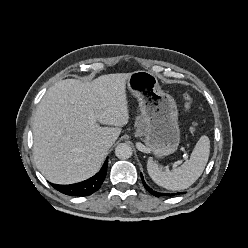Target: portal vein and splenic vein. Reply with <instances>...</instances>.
<instances>
[{"label":"portal vein and splenic vein","mask_w":248,"mask_h":248,"mask_svg":"<svg viewBox=\"0 0 248 248\" xmlns=\"http://www.w3.org/2000/svg\"><path fill=\"white\" fill-rule=\"evenodd\" d=\"M89 119L92 124L95 122L94 117H90Z\"/></svg>","instance_id":"18ae733b"}]
</instances>
